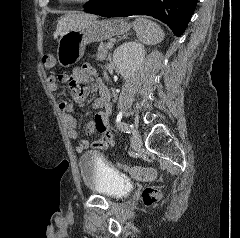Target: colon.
Returning <instances> with one entry per match:
<instances>
[{"instance_id": "5ec220e1", "label": "colon", "mask_w": 240, "mask_h": 238, "mask_svg": "<svg viewBox=\"0 0 240 238\" xmlns=\"http://www.w3.org/2000/svg\"><path fill=\"white\" fill-rule=\"evenodd\" d=\"M42 64L46 69H51L56 64V58L52 54L44 55ZM123 170L127 171L132 177L139 180H151L155 177V170L149 167L124 166L119 165ZM160 191L154 187L146 188L143 192V201L146 205H151L160 199Z\"/></svg>"}]
</instances>
